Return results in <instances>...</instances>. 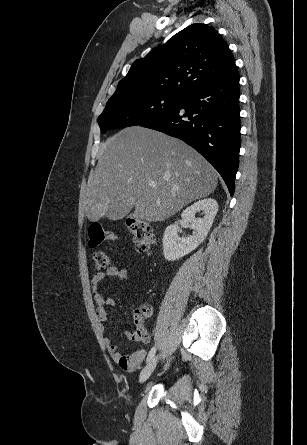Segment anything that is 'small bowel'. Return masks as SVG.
Here are the masks:
<instances>
[{
    "instance_id": "obj_1",
    "label": "small bowel",
    "mask_w": 307,
    "mask_h": 445,
    "mask_svg": "<svg viewBox=\"0 0 307 445\" xmlns=\"http://www.w3.org/2000/svg\"><path fill=\"white\" fill-rule=\"evenodd\" d=\"M130 276V270L128 268H119L112 266L105 272H96L91 279V286L93 289V298L96 303V316L99 321L106 322L108 320L107 307H115L116 301L112 297H104L99 292V286L106 277L117 278L119 280H125ZM125 335L128 339H132L133 332L126 331ZM105 344L111 358L120 366L121 369L127 372H135L143 363L146 357V351L139 349L131 355L122 354L118 346L112 342L110 338H105Z\"/></svg>"
}]
</instances>
